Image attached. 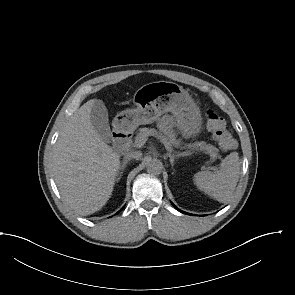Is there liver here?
<instances>
[{"instance_id": "liver-1", "label": "liver", "mask_w": 295, "mask_h": 295, "mask_svg": "<svg viewBox=\"0 0 295 295\" xmlns=\"http://www.w3.org/2000/svg\"><path fill=\"white\" fill-rule=\"evenodd\" d=\"M84 103L68 119L55 143L52 164L55 183L64 202L82 216L93 214L111 197L120 156L94 129Z\"/></svg>"}]
</instances>
